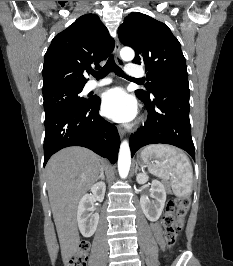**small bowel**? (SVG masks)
<instances>
[{
  "instance_id": "obj_1",
  "label": "small bowel",
  "mask_w": 233,
  "mask_h": 266,
  "mask_svg": "<svg viewBox=\"0 0 233 266\" xmlns=\"http://www.w3.org/2000/svg\"><path fill=\"white\" fill-rule=\"evenodd\" d=\"M152 229L155 235L156 240L161 244L163 242L162 238V228L159 223H154Z\"/></svg>"
}]
</instances>
